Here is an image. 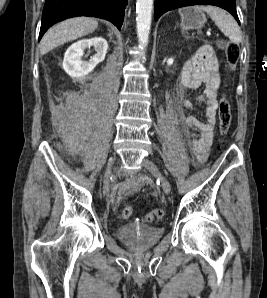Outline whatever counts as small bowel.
I'll use <instances>...</instances> for the list:
<instances>
[{
    "label": "small bowel",
    "instance_id": "c3829d8e",
    "mask_svg": "<svg viewBox=\"0 0 267 298\" xmlns=\"http://www.w3.org/2000/svg\"><path fill=\"white\" fill-rule=\"evenodd\" d=\"M181 83L184 88L196 90L205 86L204 93L198 97L206 105L205 121L195 116L182 118L183 132L192 138V147L198 162H204L208 157L212 144L216 115L218 109L217 94L221 83L219 62L210 46H202L189 58L182 70ZM183 107L191 109L190 101H184ZM139 181L135 186H139Z\"/></svg>",
    "mask_w": 267,
    "mask_h": 298
}]
</instances>
